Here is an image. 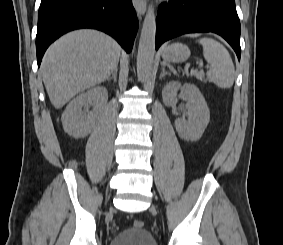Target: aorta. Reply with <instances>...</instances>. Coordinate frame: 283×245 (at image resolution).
I'll use <instances>...</instances> for the list:
<instances>
[{"label":"aorta","instance_id":"762f6f07","mask_svg":"<svg viewBox=\"0 0 283 245\" xmlns=\"http://www.w3.org/2000/svg\"><path fill=\"white\" fill-rule=\"evenodd\" d=\"M156 16L152 6L143 21L137 55V73L141 80L147 79L152 72L155 55Z\"/></svg>","mask_w":283,"mask_h":245}]
</instances>
